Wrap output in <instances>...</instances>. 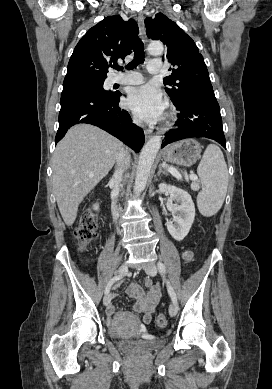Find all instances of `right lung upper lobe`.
I'll return each instance as SVG.
<instances>
[{
	"mask_svg": "<svg viewBox=\"0 0 272 389\" xmlns=\"http://www.w3.org/2000/svg\"><path fill=\"white\" fill-rule=\"evenodd\" d=\"M138 33L134 20L120 16L106 17L89 29L71 55L63 86L104 81L108 67L130 54Z\"/></svg>",
	"mask_w": 272,
	"mask_h": 389,
	"instance_id": "cb5924a9",
	"label": "right lung upper lobe"
}]
</instances>
